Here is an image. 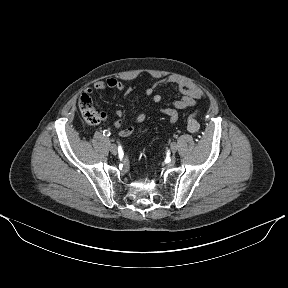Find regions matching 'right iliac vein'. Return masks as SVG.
I'll return each mask as SVG.
<instances>
[{"instance_id": "1", "label": "right iliac vein", "mask_w": 288, "mask_h": 288, "mask_svg": "<svg viewBox=\"0 0 288 288\" xmlns=\"http://www.w3.org/2000/svg\"><path fill=\"white\" fill-rule=\"evenodd\" d=\"M110 151L112 154L116 155L117 154V151H118V148L115 144H110Z\"/></svg>"}]
</instances>
